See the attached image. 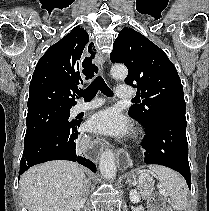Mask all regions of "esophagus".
<instances>
[{
    "instance_id": "obj_1",
    "label": "esophagus",
    "mask_w": 209,
    "mask_h": 211,
    "mask_svg": "<svg viewBox=\"0 0 209 211\" xmlns=\"http://www.w3.org/2000/svg\"><path fill=\"white\" fill-rule=\"evenodd\" d=\"M89 52H85V58L81 60L80 69H82V79H95L97 75V66L100 67L104 63V57L98 54L95 45H88ZM109 143L91 144V140H78V149H84L86 159H90L91 163L95 162L99 152H106V147H110ZM112 150V149H111ZM128 151H121L116 154L118 167H129L130 160L127 158Z\"/></svg>"
}]
</instances>
